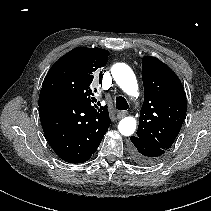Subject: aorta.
Listing matches in <instances>:
<instances>
[{
	"instance_id": "aorta-1",
	"label": "aorta",
	"mask_w": 211,
	"mask_h": 211,
	"mask_svg": "<svg viewBox=\"0 0 211 211\" xmlns=\"http://www.w3.org/2000/svg\"><path fill=\"white\" fill-rule=\"evenodd\" d=\"M111 73L119 87L128 95L134 96L138 90V84L132 69L124 63H116L111 68ZM136 119L128 116L118 124L119 132L124 136L132 135L136 130Z\"/></svg>"
}]
</instances>
